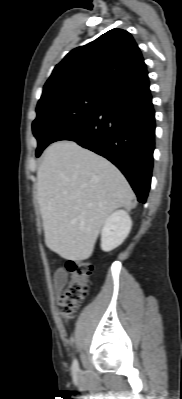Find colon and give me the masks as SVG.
I'll return each mask as SVG.
<instances>
[{
    "mask_svg": "<svg viewBox=\"0 0 182 399\" xmlns=\"http://www.w3.org/2000/svg\"><path fill=\"white\" fill-rule=\"evenodd\" d=\"M67 270L70 273V281L58 305L59 316L65 321L74 318L79 305L87 296V282L92 265L88 260L69 261Z\"/></svg>",
    "mask_w": 182,
    "mask_h": 399,
    "instance_id": "5ec220e1",
    "label": "colon"
}]
</instances>
